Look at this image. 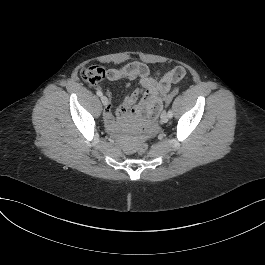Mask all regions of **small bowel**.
Segmentation results:
<instances>
[{"instance_id":"1","label":"small bowel","mask_w":265,"mask_h":265,"mask_svg":"<svg viewBox=\"0 0 265 265\" xmlns=\"http://www.w3.org/2000/svg\"><path fill=\"white\" fill-rule=\"evenodd\" d=\"M103 70V78L109 81L138 79L141 85V89L125 97L122 104L117 108L115 116L112 114L108 103L103 118L110 131L119 130L126 122H135L141 118L147 121L154 119L161 111L162 104L172 85L183 79L186 74L182 66H177L166 72L158 71V78H154L150 74L149 67L139 61ZM106 95L110 97L109 92Z\"/></svg>"}]
</instances>
